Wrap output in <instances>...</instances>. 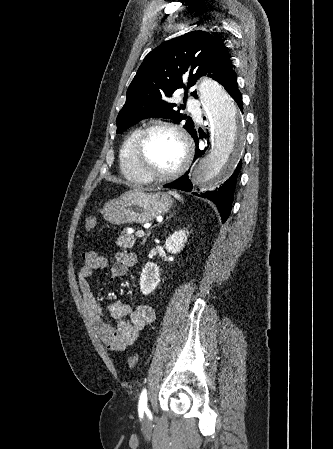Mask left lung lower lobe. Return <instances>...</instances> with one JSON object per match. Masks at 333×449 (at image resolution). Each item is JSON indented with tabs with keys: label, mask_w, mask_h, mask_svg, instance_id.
Instances as JSON below:
<instances>
[{
	"label": "left lung lower lobe",
	"mask_w": 333,
	"mask_h": 449,
	"mask_svg": "<svg viewBox=\"0 0 333 449\" xmlns=\"http://www.w3.org/2000/svg\"><path fill=\"white\" fill-rule=\"evenodd\" d=\"M236 76L234 72H232L223 82V86L225 87L226 91L230 94V96L236 101L240 109L242 110V96L237 88V82H236ZM191 136L193 137L195 144H196V155L194 157V160H197L202 156L205 150H200L198 147L199 138L197 135V132L192 133ZM206 149V148H205ZM242 166L241 161L237 165L233 175L219 188H216L215 190H198V192H194L193 194L199 197L207 198L211 200L213 203L216 204L221 218L222 222L224 223L227 218L230 215L232 202H233V195L234 190L236 186L237 177L240 171V168ZM189 171L184 174L179 179L175 180L174 182H171L169 184L164 185L166 188H175L180 189L184 191L190 192L192 190V183L189 180Z\"/></svg>",
	"instance_id": "0a47b994"
}]
</instances>
